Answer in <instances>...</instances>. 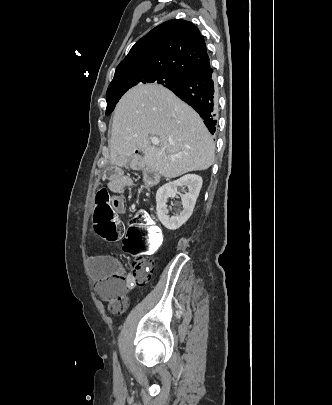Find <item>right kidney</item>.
<instances>
[{"mask_svg": "<svg viewBox=\"0 0 332 405\" xmlns=\"http://www.w3.org/2000/svg\"><path fill=\"white\" fill-rule=\"evenodd\" d=\"M187 186L189 192L181 195L183 210L178 215L169 216L167 199L174 198L178 187ZM202 187V178L195 174L185 175L161 186L156 193V210L160 222L168 230L180 228L192 215L196 200Z\"/></svg>", "mask_w": 332, "mask_h": 405, "instance_id": "right-kidney-1", "label": "right kidney"}]
</instances>
